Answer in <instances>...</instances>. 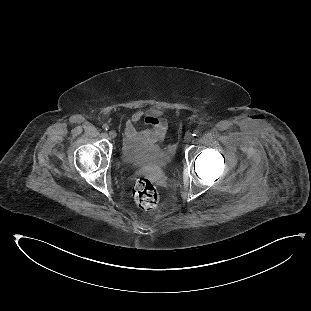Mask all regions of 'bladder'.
I'll list each match as a JSON object with an SVG mask.
<instances>
[{"label": "bladder", "mask_w": 311, "mask_h": 311, "mask_svg": "<svg viewBox=\"0 0 311 311\" xmlns=\"http://www.w3.org/2000/svg\"><path fill=\"white\" fill-rule=\"evenodd\" d=\"M122 160L131 165H136L138 171L152 172L169 166L172 157L164 150L154 151L145 154H137L131 148L120 152Z\"/></svg>", "instance_id": "bladder-1"}]
</instances>
